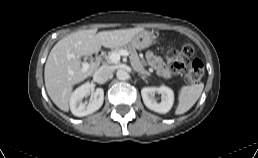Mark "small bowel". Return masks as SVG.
Listing matches in <instances>:
<instances>
[{"instance_id":"1","label":"small bowel","mask_w":258,"mask_h":158,"mask_svg":"<svg viewBox=\"0 0 258 158\" xmlns=\"http://www.w3.org/2000/svg\"><path fill=\"white\" fill-rule=\"evenodd\" d=\"M146 61L152 68L155 69L158 75L164 78H169L171 76V72L163 60L160 57L154 55L152 52L147 53Z\"/></svg>"}]
</instances>
